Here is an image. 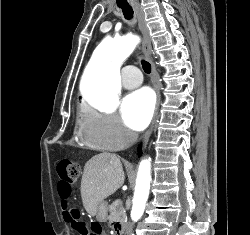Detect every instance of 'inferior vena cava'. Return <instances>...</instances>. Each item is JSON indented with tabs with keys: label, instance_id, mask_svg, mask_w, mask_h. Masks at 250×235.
<instances>
[{
	"label": "inferior vena cava",
	"instance_id": "602c4592",
	"mask_svg": "<svg viewBox=\"0 0 250 235\" xmlns=\"http://www.w3.org/2000/svg\"><path fill=\"white\" fill-rule=\"evenodd\" d=\"M126 135H127L128 144L135 142L138 137L135 132H131V131H127ZM132 230H133V224L128 223L125 228V235H133Z\"/></svg>",
	"mask_w": 250,
	"mask_h": 235
}]
</instances>
